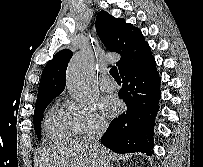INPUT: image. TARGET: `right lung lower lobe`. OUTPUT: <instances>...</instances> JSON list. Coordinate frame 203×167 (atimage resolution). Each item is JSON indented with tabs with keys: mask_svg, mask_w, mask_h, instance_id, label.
Returning <instances> with one entry per match:
<instances>
[{
	"mask_svg": "<svg viewBox=\"0 0 203 167\" xmlns=\"http://www.w3.org/2000/svg\"><path fill=\"white\" fill-rule=\"evenodd\" d=\"M121 77L123 86L118 95L127 110L111 121L101 143L116 153L151 155L161 80L154 57L122 73Z\"/></svg>",
	"mask_w": 203,
	"mask_h": 167,
	"instance_id": "98d812e1",
	"label": "right lung lower lobe"
}]
</instances>
